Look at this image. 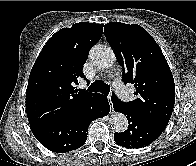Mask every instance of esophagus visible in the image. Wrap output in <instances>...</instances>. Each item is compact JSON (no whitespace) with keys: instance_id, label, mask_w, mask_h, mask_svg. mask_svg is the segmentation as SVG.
<instances>
[{"instance_id":"esophagus-1","label":"esophagus","mask_w":196,"mask_h":166,"mask_svg":"<svg viewBox=\"0 0 196 166\" xmlns=\"http://www.w3.org/2000/svg\"><path fill=\"white\" fill-rule=\"evenodd\" d=\"M108 100H109V103H110L111 111L113 112L114 109H113V103H112V94L108 95Z\"/></svg>"}]
</instances>
